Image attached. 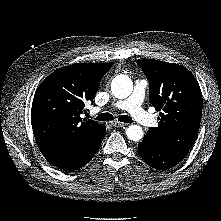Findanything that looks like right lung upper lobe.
<instances>
[{"mask_svg": "<svg viewBox=\"0 0 221 221\" xmlns=\"http://www.w3.org/2000/svg\"><path fill=\"white\" fill-rule=\"evenodd\" d=\"M113 63H76L50 74L37 89L31 122L39 148L72 150L91 143L105 126L81 118Z\"/></svg>", "mask_w": 221, "mask_h": 221, "instance_id": "1", "label": "right lung upper lobe"}]
</instances>
